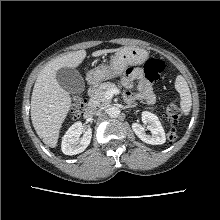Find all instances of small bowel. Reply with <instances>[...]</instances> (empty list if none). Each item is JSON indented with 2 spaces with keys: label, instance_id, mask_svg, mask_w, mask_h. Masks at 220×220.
<instances>
[{
  "label": "small bowel",
  "instance_id": "c3829d8e",
  "mask_svg": "<svg viewBox=\"0 0 220 220\" xmlns=\"http://www.w3.org/2000/svg\"><path fill=\"white\" fill-rule=\"evenodd\" d=\"M135 82L137 83L138 97L147 103L152 104L154 102V96L150 83L144 78L143 73L139 68H128L122 77V84L125 87L130 88ZM125 98L128 101H132L134 96L132 93L127 92Z\"/></svg>",
  "mask_w": 220,
  "mask_h": 220
}]
</instances>
